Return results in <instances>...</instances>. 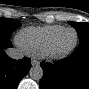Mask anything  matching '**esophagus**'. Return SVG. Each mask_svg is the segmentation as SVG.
<instances>
[{"instance_id": "1", "label": "esophagus", "mask_w": 89, "mask_h": 89, "mask_svg": "<svg viewBox=\"0 0 89 89\" xmlns=\"http://www.w3.org/2000/svg\"><path fill=\"white\" fill-rule=\"evenodd\" d=\"M31 64H32V66H38L39 62L36 59H32Z\"/></svg>"}]
</instances>
